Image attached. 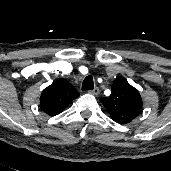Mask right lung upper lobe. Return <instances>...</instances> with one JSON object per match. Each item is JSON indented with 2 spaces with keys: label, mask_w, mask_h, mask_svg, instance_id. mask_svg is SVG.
Masks as SVG:
<instances>
[{
  "label": "right lung upper lobe",
  "mask_w": 171,
  "mask_h": 171,
  "mask_svg": "<svg viewBox=\"0 0 171 171\" xmlns=\"http://www.w3.org/2000/svg\"><path fill=\"white\" fill-rule=\"evenodd\" d=\"M77 97L79 93L67 80L58 79L42 92L40 106L45 113L55 116Z\"/></svg>",
  "instance_id": "right-lung-upper-lobe-1"
}]
</instances>
